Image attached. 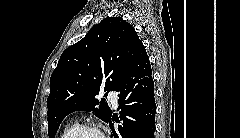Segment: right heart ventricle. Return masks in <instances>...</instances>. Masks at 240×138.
I'll return each instance as SVG.
<instances>
[{"label":"right heart ventricle","instance_id":"1","mask_svg":"<svg viewBox=\"0 0 240 138\" xmlns=\"http://www.w3.org/2000/svg\"><path fill=\"white\" fill-rule=\"evenodd\" d=\"M77 127L76 123H70L66 128L64 129L61 138H67L68 135Z\"/></svg>","mask_w":240,"mask_h":138}]
</instances>
